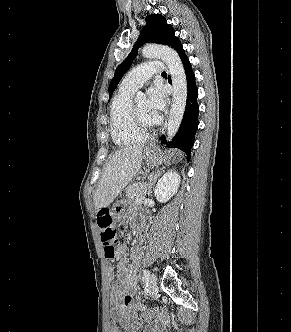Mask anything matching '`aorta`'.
<instances>
[{"label":"aorta","mask_w":291,"mask_h":332,"mask_svg":"<svg viewBox=\"0 0 291 332\" xmlns=\"http://www.w3.org/2000/svg\"><path fill=\"white\" fill-rule=\"evenodd\" d=\"M142 56L148 59L159 58L166 63L169 69L173 86V98L167 126V141H171L180 127L186 107L187 80L185 70L178 53L167 46L145 45L142 48ZM137 98L143 99L144 94L137 93Z\"/></svg>","instance_id":"1"}]
</instances>
